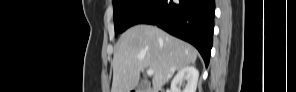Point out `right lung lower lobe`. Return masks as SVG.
<instances>
[{
  "label": "right lung lower lobe",
  "mask_w": 296,
  "mask_h": 92,
  "mask_svg": "<svg viewBox=\"0 0 296 92\" xmlns=\"http://www.w3.org/2000/svg\"><path fill=\"white\" fill-rule=\"evenodd\" d=\"M214 0H160L138 24H152L193 44L209 63L214 29Z\"/></svg>",
  "instance_id": "98d812e1"
}]
</instances>
